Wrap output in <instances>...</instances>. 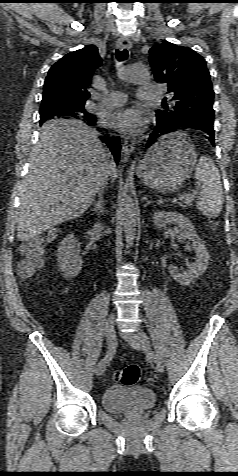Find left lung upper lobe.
Here are the masks:
<instances>
[{
    "instance_id": "left-lung-upper-lobe-1",
    "label": "left lung upper lobe",
    "mask_w": 238,
    "mask_h": 476,
    "mask_svg": "<svg viewBox=\"0 0 238 476\" xmlns=\"http://www.w3.org/2000/svg\"><path fill=\"white\" fill-rule=\"evenodd\" d=\"M149 53L154 77L167 85L173 101L156 112L157 121L194 115L213 119L214 91L203 57L168 41L153 46Z\"/></svg>"
}]
</instances>
